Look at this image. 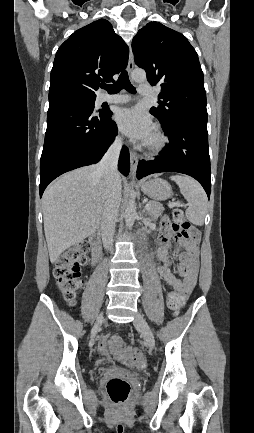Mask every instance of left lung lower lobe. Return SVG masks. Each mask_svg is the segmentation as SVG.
Returning a JSON list of instances; mask_svg holds the SVG:
<instances>
[{
	"label": "left lung lower lobe",
	"mask_w": 254,
	"mask_h": 433,
	"mask_svg": "<svg viewBox=\"0 0 254 433\" xmlns=\"http://www.w3.org/2000/svg\"><path fill=\"white\" fill-rule=\"evenodd\" d=\"M163 130L169 137V144L154 160L139 161L137 177L140 179L152 173L168 171L187 174L203 186L209 198L211 170L207 121L183 118Z\"/></svg>",
	"instance_id": "left-lung-lower-lobe-1"
}]
</instances>
